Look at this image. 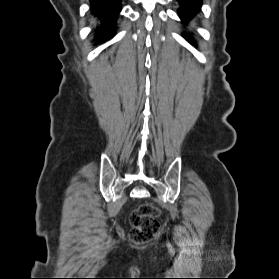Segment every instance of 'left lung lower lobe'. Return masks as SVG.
<instances>
[{"mask_svg": "<svg viewBox=\"0 0 279 279\" xmlns=\"http://www.w3.org/2000/svg\"><path fill=\"white\" fill-rule=\"evenodd\" d=\"M181 8L179 9V16L184 24L188 23L201 8L202 0H178ZM187 40L193 44L190 36H186Z\"/></svg>", "mask_w": 279, "mask_h": 279, "instance_id": "left-lung-lower-lobe-1", "label": "left lung lower lobe"}]
</instances>
